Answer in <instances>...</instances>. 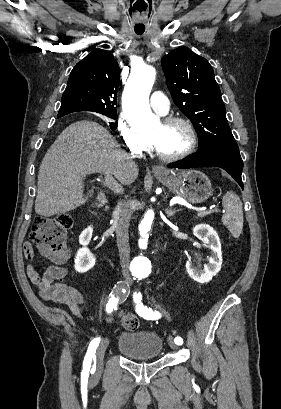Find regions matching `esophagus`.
<instances>
[{
    "mask_svg": "<svg viewBox=\"0 0 281 409\" xmlns=\"http://www.w3.org/2000/svg\"><path fill=\"white\" fill-rule=\"evenodd\" d=\"M152 171H153L154 173H161V172H163L164 170H163V167H161L160 165H153Z\"/></svg>",
    "mask_w": 281,
    "mask_h": 409,
    "instance_id": "34e87169",
    "label": "esophagus"
}]
</instances>
